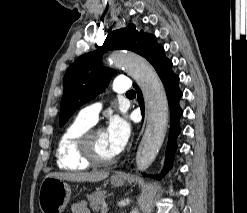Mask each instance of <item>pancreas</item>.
Masks as SVG:
<instances>
[{
    "instance_id": "cf45deb5",
    "label": "pancreas",
    "mask_w": 247,
    "mask_h": 213,
    "mask_svg": "<svg viewBox=\"0 0 247 213\" xmlns=\"http://www.w3.org/2000/svg\"><path fill=\"white\" fill-rule=\"evenodd\" d=\"M106 198V192L97 191L87 197L90 208L95 211L102 210Z\"/></svg>"
}]
</instances>
